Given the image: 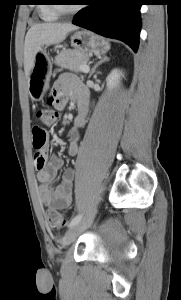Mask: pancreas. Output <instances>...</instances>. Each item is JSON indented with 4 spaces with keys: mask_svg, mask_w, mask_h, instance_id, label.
<instances>
[{
    "mask_svg": "<svg viewBox=\"0 0 181 300\" xmlns=\"http://www.w3.org/2000/svg\"><path fill=\"white\" fill-rule=\"evenodd\" d=\"M89 55L77 50H64L55 58V64L75 72H81L80 67L87 65Z\"/></svg>",
    "mask_w": 181,
    "mask_h": 300,
    "instance_id": "1",
    "label": "pancreas"
}]
</instances>
